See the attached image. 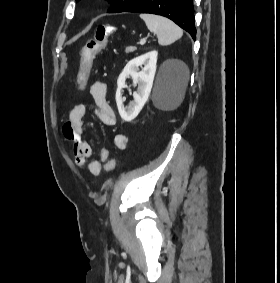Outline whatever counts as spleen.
<instances>
[{"instance_id": "1", "label": "spleen", "mask_w": 280, "mask_h": 283, "mask_svg": "<svg viewBox=\"0 0 280 283\" xmlns=\"http://www.w3.org/2000/svg\"><path fill=\"white\" fill-rule=\"evenodd\" d=\"M140 18L144 20L149 31L157 35L158 43L162 46L174 43L183 35L182 29L165 17L153 14H141ZM184 71L182 79L183 89H185L189 79V70L186 66H184Z\"/></svg>"}]
</instances>
